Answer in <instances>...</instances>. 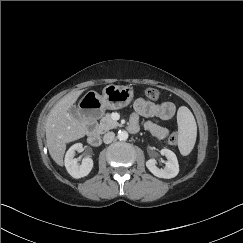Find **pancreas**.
Returning <instances> with one entry per match:
<instances>
[{"label":"pancreas","mask_w":243,"mask_h":243,"mask_svg":"<svg viewBox=\"0 0 243 243\" xmlns=\"http://www.w3.org/2000/svg\"><path fill=\"white\" fill-rule=\"evenodd\" d=\"M117 126H120V124L111 118V114L107 113L104 117L101 118L100 124L98 125V131L99 133H104Z\"/></svg>","instance_id":"obj_1"}]
</instances>
